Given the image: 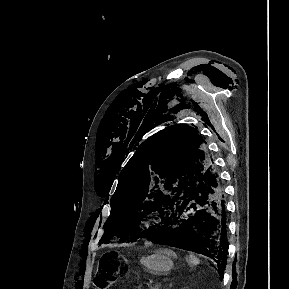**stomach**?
Instances as JSON below:
<instances>
[{
	"mask_svg": "<svg viewBox=\"0 0 289 289\" xmlns=\"http://www.w3.org/2000/svg\"><path fill=\"white\" fill-rule=\"evenodd\" d=\"M140 263L151 274L166 273L173 267L172 252L167 249L158 250L154 254L141 257Z\"/></svg>",
	"mask_w": 289,
	"mask_h": 289,
	"instance_id": "1",
	"label": "stomach"
}]
</instances>
